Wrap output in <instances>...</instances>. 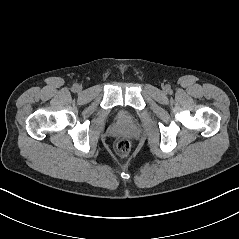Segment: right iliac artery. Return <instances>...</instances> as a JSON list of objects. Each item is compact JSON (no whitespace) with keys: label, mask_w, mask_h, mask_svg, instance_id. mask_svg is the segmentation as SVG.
<instances>
[{"label":"right iliac artery","mask_w":239,"mask_h":239,"mask_svg":"<svg viewBox=\"0 0 239 239\" xmlns=\"http://www.w3.org/2000/svg\"><path fill=\"white\" fill-rule=\"evenodd\" d=\"M77 88H78V85H77V84H74V85H73V90H77Z\"/></svg>","instance_id":"82829eb1"}]
</instances>
